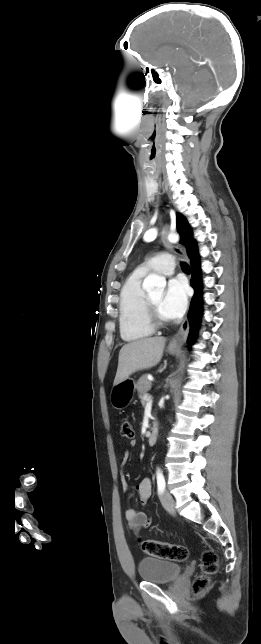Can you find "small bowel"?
<instances>
[{
    "label": "small bowel",
    "instance_id": "obj_1",
    "mask_svg": "<svg viewBox=\"0 0 261 644\" xmlns=\"http://www.w3.org/2000/svg\"><path fill=\"white\" fill-rule=\"evenodd\" d=\"M132 446L136 445V441L131 442ZM130 453L129 451H125L123 454L122 458V465H125L129 459ZM121 484L122 488L124 491H128L130 489L127 481L125 478L122 476L121 477ZM135 491L138 493L139 500L142 505L146 504L148 499L151 496V481L149 478H143L138 482V484L135 486ZM124 517L126 521L127 527L132 530L136 535H138L139 531L143 528H148L151 525V522L147 516V514L142 511V510H136L134 508H128L124 512Z\"/></svg>",
    "mask_w": 261,
    "mask_h": 644
}]
</instances>
